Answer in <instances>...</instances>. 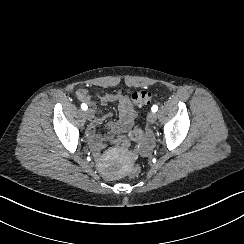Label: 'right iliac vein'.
Masks as SVG:
<instances>
[{
  "label": "right iliac vein",
  "mask_w": 244,
  "mask_h": 244,
  "mask_svg": "<svg viewBox=\"0 0 244 244\" xmlns=\"http://www.w3.org/2000/svg\"><path fill=\"white\" fill-rule=\"evenodd\" d=\"M85 116L87 117L88 120H92L94 117V113L91 109H88L85 111Z\"/></svg>",
  "instance_id": "right-iliac-vein-1"
}]
</instances>
